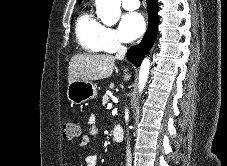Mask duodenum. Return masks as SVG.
<instances>
[{"label":"duodenum","mask_w":227,"mask_h":166,"mask_svg":"<svg viewBox=\"0 0 227 166\" xmlns=\"http://www.w3.org/2000/svg\"><path fill=\"white\" fill-rule=\"evenodd\" d=\"M113 138L116 142H121L123 140L124 131L123 128L116 124L112 129Z\"/></svg>","instance_id":"1"}]
</instances>
